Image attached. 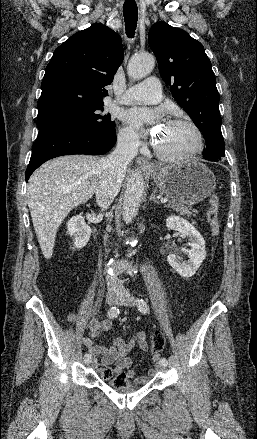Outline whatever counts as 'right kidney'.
<instances>
[{
  "label": "right kidney",
  "instance_id": "ca27d5eb",
  "mask_svg": "<svg viewBox=\"0 0 257 439\" xmlns=\"http://www.w3.org/2000/svg\"><path fill=\"white\" fill-rule=\"evenodd\" d=\"M67 232L74 236L75 247L83 248L89 241L91 228L85 223L81 215H77L67 222Z\"/></svg>",
  "mask_w": 257,
  "mask_h": 439
}]
</instances>
